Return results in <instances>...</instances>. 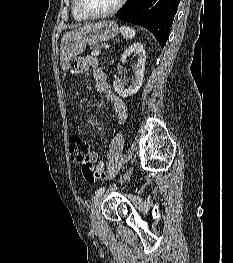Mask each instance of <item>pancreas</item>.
I'll use <instances>...</instances> for the list:
<instances>
[{"instance_id": "obj_1", "label": "pancreas", "mask_w": 233, "mask_h": 263, "mask_svg": "<svg viewBox=\"0 0 233 263\" xmlns=\"http://www.w3.org/2000/svg\"><path fill=\"white\" fill-rule=\"evenodd\" d=\"M102 47H103V45H96L93 47V50L97 51V50L101 49Z\"/></svg>"}]
</instances>
